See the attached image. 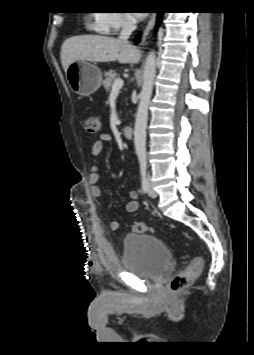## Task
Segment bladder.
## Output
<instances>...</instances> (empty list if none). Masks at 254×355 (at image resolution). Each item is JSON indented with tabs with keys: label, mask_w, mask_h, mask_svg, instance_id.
<instances>
[{
	"label": "bladder",
	"mask_w": 254,
	"mask_h": 355,
	"mask_svg": "<svg viewBox=\"0 0 254 355\" xmlns=\"http://www.w3.org/2000/svg\"><path fill=\"white\" fill-rule=\"evenodd\" d=\"M170 251L160 239L141 234L124 237L122 264L125 270L155 280L166 272Z\"/></svg>",
	"instance_id": "31cf9c89"
}]
</instances>
